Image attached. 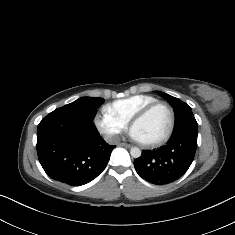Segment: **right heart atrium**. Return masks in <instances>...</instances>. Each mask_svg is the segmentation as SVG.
Masks as SVG:
<instances>
[{"label":"right heart atrium","mask_w":235,"mask_h":235,"mask_svg":"<svg viewBox=\"0 0 235 235\" xmlns=\"http://www.w3.org/2000/svg\"><path fill=\"white\" fill-rule=\"evenodd\" d=\"M97 130L110 142H116L118 136L127 128V122L115 115L110 105H102L93 116Z\"/></svg>","instance_id":"right-heart-atrium-1"}]
</instances>
